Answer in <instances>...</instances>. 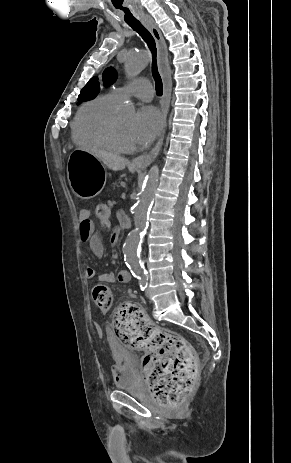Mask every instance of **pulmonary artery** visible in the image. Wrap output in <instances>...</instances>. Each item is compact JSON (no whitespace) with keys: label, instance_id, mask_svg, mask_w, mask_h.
<instances>
[{"label":"pulmonary artery","instance_id":"obj_1","mask_svg":"<svg viewBox=\"0 0 291 463\" xmlns=\"http://www.w3.org/2000/svg\"><path fill=\"white\" fill-rule=\"evenodd\" d=\"M110 92L117 102H121L127 97H136L146 102L153 98V87L146 78H139L123 86L113 88Z\"/></svg>","mask_w":291,"mask_h":463}]
</instances>
